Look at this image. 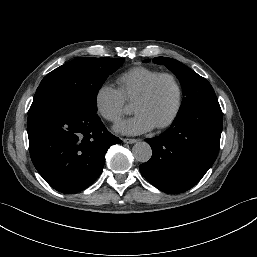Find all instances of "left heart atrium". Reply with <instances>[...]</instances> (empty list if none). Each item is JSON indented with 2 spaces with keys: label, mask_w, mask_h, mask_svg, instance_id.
<instances>
[{
  "label": "left heart atrium",
  "mask_w": 257,
  "mask_h": 257,
  "mask_svg": "<svg viewBox=\"0 0 257 257\" xmlns=\"http://www.w3.org/2000/svg\"><path fill=\"white\" fill-rule=\"evenodd\" d=\"M155 127L144 114L136 113L133 117L118 123L115 130L122 134L136 135L148 132Z\"/></svg>",
  "instance_id": "1"
}]
</instances>
